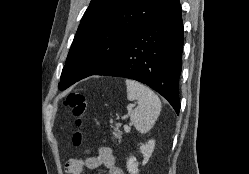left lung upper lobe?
Listing matches in <instances>:
<instances>
[{
    "mask_svg": "<svg viewBox=\"0 0 249 174\" xmlns=\"http://www.w3.org/2000/svg\"><path fill=\"white\" fill-rule=\"evenodd\" d=\"M164 0H91L84 13L58 88L94 75L130 42Z\"/></svg>",
    "mask_w": 249,
    "mask_h": 174,
    "instance_id": "left-lung-upper-lobe-1",
    "label": "left lung upper lobe"
}]
</instances>
